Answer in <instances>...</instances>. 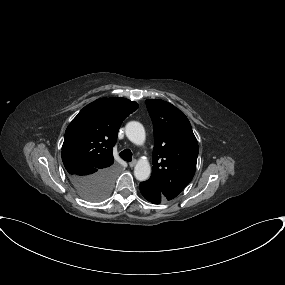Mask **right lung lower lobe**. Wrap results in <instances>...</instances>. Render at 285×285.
<instances>
[{"instance_id": "obj_1", "label": "right lung lower lobe", "mask_w": 285, "mask_h": 285, "mask_svg": "<svg viewBox=\"0 0 285 285\" xmlns=\"http://www.w3.org/2000/svg\"><path fill=\"white\" fill-rule=\"evenodd\" d=\"M115 176L113 166L97 170L93 173L70 175L69 179L77 192L85 198L95 192H110Z\"/></svg>"}]
</instances>
